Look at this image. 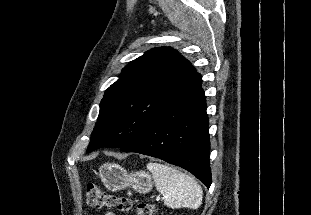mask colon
<instances>
[{"mask_svg":"<svg viewBox=\"0 0 311 215\" xmlns=\"http://www.w3.org/2000/svg\"><path fill=\"white\" fill-rule=\"evenodd\" d=\"M87 204L96 210L116 208L128 213L133 208V202L127 197L108 194L94 183L86 186ZM136 215H154V207L150 203L140 202L135 206Z\"/></svg>","mask_w":311,"mask_h":215,"instance_id":"obj_1","label":"colon"}]
</instances>
